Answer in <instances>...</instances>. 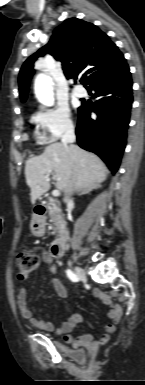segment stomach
Wrapping results in <instances>:
<instances>
[{
	"label": "stomach",
	"instance_id": "1",
	"mask_svg": "<svg viewBox=\"0 0 145 385\" xmlns=\"http://www.w3.org/2000/svg\"><path fill=\"white\" fill-rule=\"evenodd\" d=\"M31 230H32V233L36 234V230L33 225L31 226Z\"/></svg>",
	"mask_w": 145,
	"mask_h": 385
}]
</instances>
